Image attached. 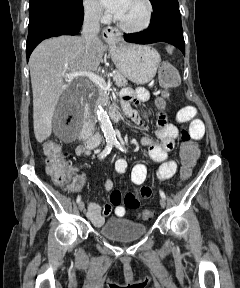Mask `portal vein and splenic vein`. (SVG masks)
I'll list each match as a JSON object with an SVG mask.
<instances>
[{
  "mask_svg": "<svg viewBox=\"0 0 240 288\" xmlns=\"http://www.w3.org/2000/svg\"><path fill=\"white\" fill-rule=\"evenodd\" d=\"M66 80L71 81L74 78L77 77H87L88 79H90L93 83L97 84L99 87L105 89V90H109L110 89V84L106 83L105 79L102 78L99 75H96L93 72H89V71H76V72H72V73H68L66 75L63 76Z\"/></svg>",
  "mask_w": 240,
  "mask_h": 288,
  "instance_id": "obj_1",
  "label": "portal vein and splenic vein"
}]
</instances>
